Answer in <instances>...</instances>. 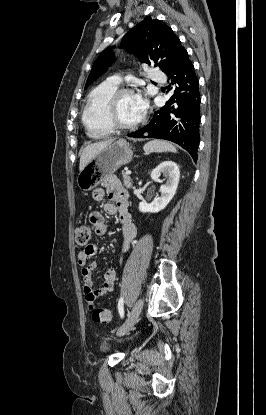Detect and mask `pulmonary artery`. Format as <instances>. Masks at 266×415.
Wrapping results in <instances>:
<instances>
[{
	"instance_id": "e3ab8cb5",
	"label": "pulmonary artery",
	"mask_w": 266,
	"mask_h": 415,
	"mask_svg": "<svg viewBox=\"0 0 266 415\" xmlns=\"http://www.w3.org/2000/svg\"><path fill=\"white\" fill-rule=\"evenodd\" d=\"M148 77L156 82H164L165 81V77L163 75V73H161L159 70L155 69V68H150L148 70ZM109 84H112L114 86H119L121 83V79L118 76H111L107 79L106 81Z\"/></svg>"
}]
</instances>
